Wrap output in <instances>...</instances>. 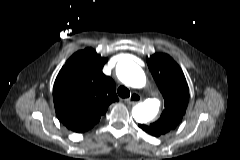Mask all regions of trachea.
<instances>
[{"mask_svg":"<svg viewBox=\"0 0 240 160\" xmlns=\"http://www.w3.org/2000/svg\"><path fill=\"white\" fill-rule=\"evenodd\" d=\"M118 94L121 98H128L130 96V90L125 86L118 88Z\"/></svg>","mask_w":240,"mask_h":160,"instance_id":"3493384b","label":"trachea"}]
</instances>
